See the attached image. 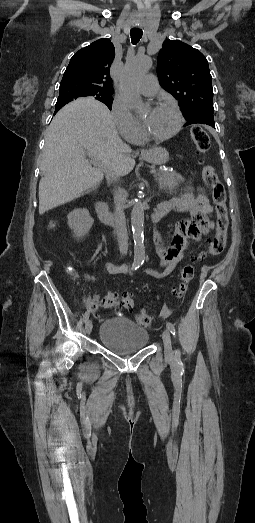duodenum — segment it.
Listing matches in <instances>:
<instances>
[{
  "label": "duodenum",
  "instance_id": "410a0bca",
  "mask_svg": "<svg viewBox=\"0 0 255 523\" xmlns=\"http://www.w3.org/2000/svg\"><path fill=\"white\" fill-rule=\"evenodd\" d=\"M96 190V184H94L91 188L92 191V201L94 204L95 211L99 217V219L104 222L105 224H114V217L112 213L109 211L107 206L97 200L94 197V192ZM171 210L170 202L169 201H162L157 204L154 211L152 212L151 218L153 222H158L162 217H164L169 211Z\"/></svg>",
  "mask_w": 255,
  "mask_h": 523
}]
</instances>
